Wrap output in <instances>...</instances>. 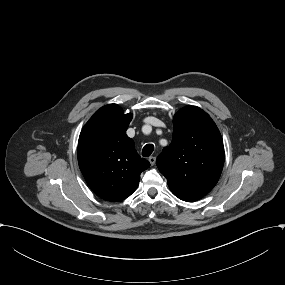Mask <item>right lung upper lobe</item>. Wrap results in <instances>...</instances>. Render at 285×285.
<instances>
[{"label":"right lung upper lobe","mask_w":285,"mask_h":285,"mask_svg":"<svg viewBox=\"0 0 285 285\" xmlns=\"http://www.w3.org/2000/svg\"><path fill=\"white\" fill-rule=\"evenodd\" d=\"M132 114L109 104L90 118L78 142V163L89 187L106 201H121L138 187L140 174L150 167L126 135Z\"/></svg>","instance_id":"right-lung-upper-lobe-1"}]
</instances>
